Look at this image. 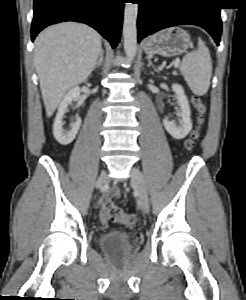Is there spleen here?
<instances>
[{"instance_id":"1","label":"spleen","mask_w":246,"mask_h":300,"mask_svg":"<svg viewBox=\"0 0 246 300\" xmlns=\"http://www.w3.org/2000/svg\"><path fill=\"white\" fill-rule=\"evenodd\" d=\"M179 69L195 95L203 96L207 93L212 75V61L209 49L202 40H198L197 50L183 57Z\"/></svg>"}]
</instances>
